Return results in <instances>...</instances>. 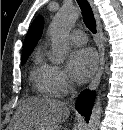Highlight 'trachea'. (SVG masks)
I'll use <instances>...</instances> for the list:
<instances>
[{
    "instance_id": "trachea-1",
    "label": "trachea",
    "mask_w": 123,
    "mask_h": 130,
    "mask_svg": "<svg viewBox=\"0 0 123 130\" xmlns=\"http://www.w3.org/2000/svg\"><path fill=\"white\" fill-rule=\"evenodd\" d=\"M76 1L82 11L86 27L92 33H96V22L90 4L88 3L87 0H76Z\"/></svg>"
}]
</instances>
